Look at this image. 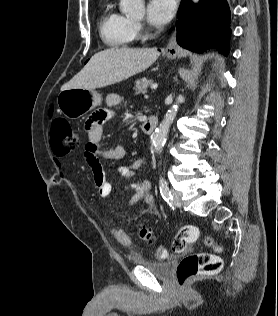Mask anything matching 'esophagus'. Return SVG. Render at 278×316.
Returning a JSON list of instances; mask_svg holds the SVG:
<instances>
[{
  "instance_id": "34e87169",
  "label": "esophagus",
  "mask_w": 278,
  "mask_h": 316,
  "mask_svg": "<svg viewBox=\"0 0 278 316\" xmlns=\"http://www.w3.org/2000/svg\"><path fill=\"white\" fill-rule=\"evenodd\" d=\"M178 50V45H177V41H176V33L175 31H173V33L171 34L168 44L165 48V52L168 55H176Z\"/></svg>"
}]
</instances>
